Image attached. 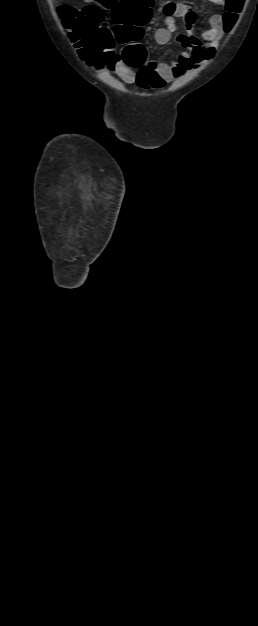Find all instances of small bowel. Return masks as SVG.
<instances>
[{
  "instance_id": "obj_1",
  "label": "small bowel",
  "mask_w": 258,
  "mask_h": 626,
  "mask_svg": "<svg viewBox=\"0 0 258 626\" xmlns=\"http://www.w3.org/2000/svg\"><path fill=\"white\" fill-rule=\"evenodd\" d=\"M223 7L226 0H208ZM164 13V27L155 31V40L160 45L170 42L172 34L176 32V19L184 22L187 33L179 34L177 41L186 49L177 61L173 63H159L149 61L138 71H134L122 56L113 57L107 64L123 82L136 84L143 89H161L173 80L182 77L187 72L210 61L220 44L223 36L224 23L222 14H213L209 18L210 28L202 36L191 33L197 19L196 11L186 3L166 1L162 6Z\"/></svg>"
}]
</instances>
